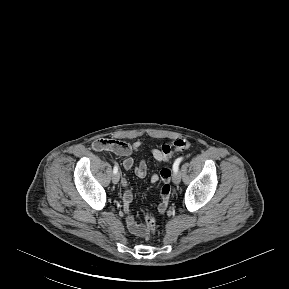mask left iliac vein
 <instances>
[{
  "label": "left iliac vein",
  "mask_w": 289,
  "mask_h": 289,
  "mask_svg": "<svg viewBox=\"0 0 289 289\" xmlns=\"http://www.w3.org/2000/svg\"><path fill=\"white\" fill-rule=\"evenodd\" d=\"M172 181L174 184H179L181 181V174L180 172H174L173 177H172Z\"/></svg>",
  "instance_id": "1"
}]
</instances>
